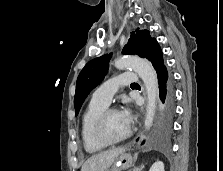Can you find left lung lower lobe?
Segmentation results:
<instances>
[{
	"label": "left lung lower lobe",
	"instance_id": "obj_1",
	"mask_svg": "<svg viewBox=\"0 0 223 171\" xmlns=\"http://www.w3.org/2000/svg\"><path fill=\"white\" fill-rule=\"evenodd\" d=\"M157 73L160 97V111L154 142L160 146H167L172 132L175 116V90L174 80L167 70L162 50L158 42H154L146 57Z\"/></svg>",
	"mask_w": 223,
	"mask_h": 171
}]
</instances>
